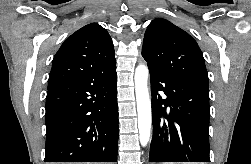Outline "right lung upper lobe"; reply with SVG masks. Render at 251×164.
Listing matches in <instances>:
<instances>
[{
	"instance_id": "right-lung-upper-lobe-1",
	"label": "right lung upper lobe",
	"mask_w": 251,
	"mask_h": 164,
	"mask_svg": "<svg viewBox=\"0 0 251 164\" xmlns=\"http://www.w3.org/2000/svg\"><path fill=\"white\" fill-rule=\"evenodd\" d=\"M115 52L110 35L97 23H90L69 36L56 53L48 88L114 67Z\"/></svg>"
}]
</instances>
